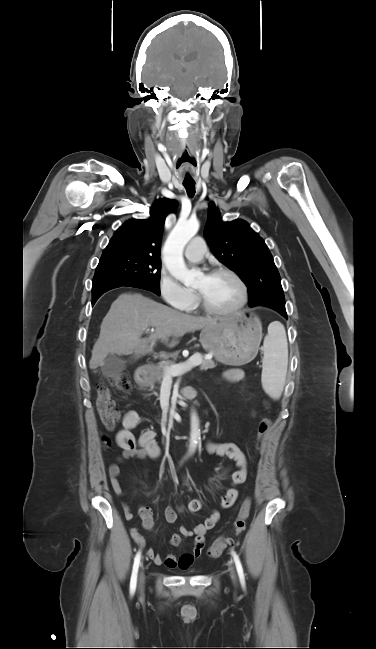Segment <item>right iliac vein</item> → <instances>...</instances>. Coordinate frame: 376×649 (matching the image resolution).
<instances>
[{
  "instance_id": "1",
  "label": "right iliac vein",
  "mask_w": 376,
  "mask_h": 649,
  "mask_svg": "<svg viewBox=\"0 0 376 649\" xmlns=\"http://www.w3.org/2000/svg\"><path fill=\"white\" fill-rule=\"evenodd\" d=\"M145 582V575L143 570L141 569L140 574H139V587L143 588Z\"/></svg>"
}]
</instances>
